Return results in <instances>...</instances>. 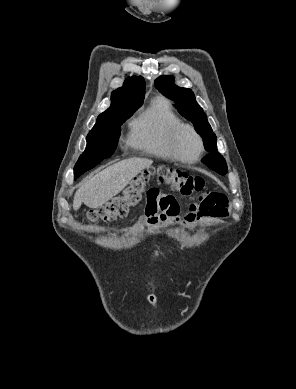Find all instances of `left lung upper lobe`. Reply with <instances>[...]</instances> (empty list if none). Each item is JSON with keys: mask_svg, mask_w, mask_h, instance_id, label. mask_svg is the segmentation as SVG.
Listing matches in <instances>:
<instances>
[{"mask_svg": "<svg viewBox=\"0 0 296 389\" xmlns=\"http://www.w3.org/2000/svg\"><path fill=\"white\" fill-rule=\"evenodd\" d=\"M155 87L163 95L175 101L178 105V112L194 124L197 133L203 138L205 149L210 153L202 159V162L217 173L225 175L227 173L226 161L217 151L216 135L203 109L196 102L194 93L188 88L176 86L171 76L157 78Z\"/></svg>", "mask_w": 296, "mask_h": 389, "instance_id": "obj_1", "label": "left lung upper lobe"}]
</instances>
